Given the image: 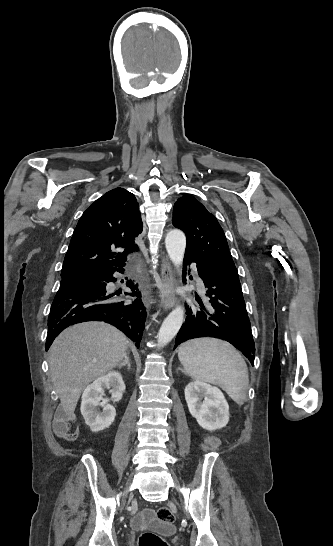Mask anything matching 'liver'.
<instances>
[{
  "instance_id": "1",
  "label": "liver",
  "mask_w": 333,
  "mask_h": 546,
  "mask_svg": "<svg viewBox=\"0 0 333 546\" xmlns=\"http://www.w3.org/2000/svg\"><path fill=\"white\" fill-rule=\"evenodd\" d=\"M127 347L123 333L101 322L71 326L54 340L49 350L50 376L66 416L74 415L88 384L123 360Z\"/></svg>"
}]
</instances>
